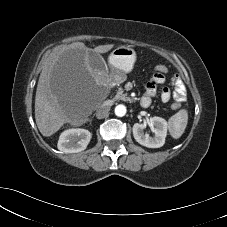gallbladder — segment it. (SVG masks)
<instances>
[{
    "mask_svg": "<svg viewBox=\"0 0 227 227\" xmlns=\"http://www.w3.org/2000/svg\"><path fill=\"white\" fill-rule=\"evenodd\" d=\"M89 63L90 66L94 69L97 73H105L108 69V66L106 63H104V60L101 55L95 53V52H89Z\"/></svg>",
    "mask_w": 227,
    "mask_h": 227,
    "instance_id": "gallbladder-1",
    "label": "gallbladder"
}]
</instances>
